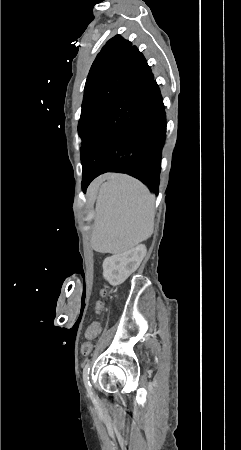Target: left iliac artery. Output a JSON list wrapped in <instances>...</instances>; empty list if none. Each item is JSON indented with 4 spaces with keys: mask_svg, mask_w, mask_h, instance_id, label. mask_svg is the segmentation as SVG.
<instances>
[{
    "mask_svg": "<svg viewBox=\"0 0 241 450\" xmlns=\"http://www.w3.org/2000/svg\"><path fill=\"white\" fill-rule=\"evenodd\" d=\"M89 371H90L89 362H87L83 366V382H84V385H85L88 393H92L91 392V384H90V381H89Z\"/></svg>",
    "mask_w": 241,
    "mask_h": 450,
    "instance_id": "left-iliac-artery-1",
    "label": "left iliac artery"
}]
</instances>
